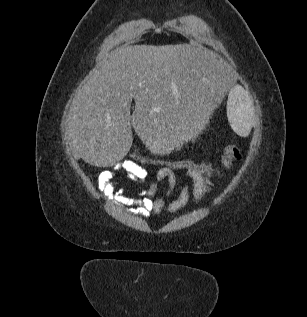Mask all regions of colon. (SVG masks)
Segmentation results:
<instances>
[{"label":"colon","mask_w":307,"mask_h":317,"mask_svg":"<svg viewBox=\"0 0 307 317\" xmlns=\"http://www.w3.org/2000/svg\"><path fill=\"white\" fill-rule=\"evenodd\" d=\"M241 158V151L236 146H228L225 148L219 164L185 156H158L144 149L132 147L128 152L127 160L133 162L138 161L152 166H160L170 170H194L203 175L221 177L232 167L233 161L240 160Z\"/></svg>","instance_id":"colon-1"}]
</instances>
